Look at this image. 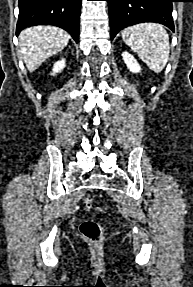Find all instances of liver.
<instances>
[{
	"label": "liver",
	"mask_w": 193,
	"mask_h": 287,
	"mask_svg": "<svg viewBox=\"0 0 193 287\" xmlns=\"http://www.w3.org/2000/svg\"><path fill=\"white\" fill-rule=\"evenodd\" d=\"M70 35L53 26H34L24 29L19 35L22 59L30 72L35 71L48 58L62 51Z\"/></svg>",
	"instance_id": "1"
}]
</instances>
